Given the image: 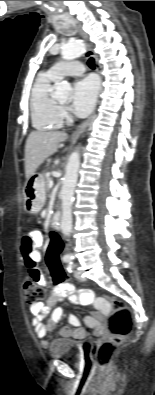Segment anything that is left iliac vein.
<instances>
[{
    "mask_svg": "<svg viewBox=\"0 0 155 395\" xmlns=\"http://www.w3.org/2000/svg\"><path fill=\"white\" fill-rule=\"evenodd\" d=\"M74 276L77 280L83 281V278L80 276V274L77 271H74Z\"/></svg>",
    "mask_w": 155,
    "mask_h": 395,
    "instance_id": "obj_1",
    "label": "left iliac vein"
}]
</instances>
